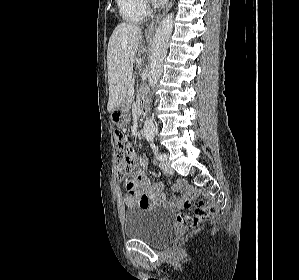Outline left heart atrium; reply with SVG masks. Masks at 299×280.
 Returning a JSON list of instances; mask_svg holds the SVG:
<instances>
[{
	"label": "left heart atrium",
	"mask_w": 299,
	"mask_h": 280,
	"mask_svg": "<svg viewBox=\"0 0 299 280\" xmlns=\"http://www.w3.org/2000/svg\"><path fill=\"white\" fill-rule=\"evenodd\" d=\"M154 1H162V0H154Z\"/></svg>",
	"instance_id": "39dd6f15"
}]
</instances>
